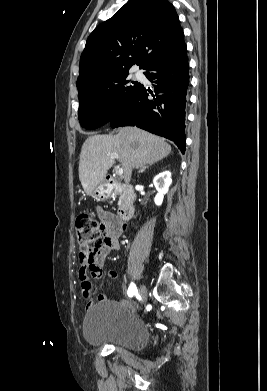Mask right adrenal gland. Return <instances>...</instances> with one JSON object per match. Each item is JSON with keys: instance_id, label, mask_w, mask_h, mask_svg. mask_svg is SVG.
<instances>
[{"instance_id": "obj_1", "label": "right adrenal gland", "mask_w": 267, "mask_h": 391, "mask_svg": "<svg viewBox=\"0 0 267 391\" xmlns=\"http://www.w3.org/2000/svg\"><path fill=\"white\" fill-rule=\"evenodd\" d=\"M154 163H150L148 164L147 166H143L139 171L138 173H143L147 168H149V166H152Z\"/></svg>"}]
</instances>
